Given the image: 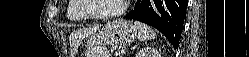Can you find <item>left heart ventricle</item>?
<instances>
[{
	"mask_svg": "<svg viewBox=\"0 0 249 57\" xmlns=\"http://www.w3.org/2000/svg\"><path fill=\"white\" fill-rule=\"evenodd\" d=\"M123 0H89L88 11L96 14H109L118 11Z\"/></svg>",
	"mask_w": 249,
	"mask_h": 57,
	"instance_id": "left-heart-ventricle-1",
	"label": "left heart ventricle"
}]
</instances>
